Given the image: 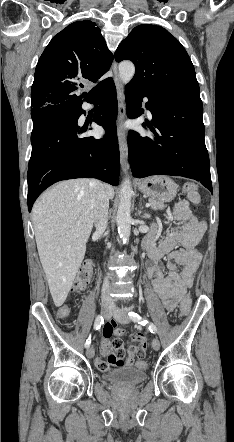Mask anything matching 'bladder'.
<instances>
[{
	"instance_id": "31cf9c89",
	"label": "bladder",
	"mask_w": 234,
	"mask_h": 442,
	"mask_svg": "<svg viewBox=\"0 0 234 442\" xmlns=\"http://www.w3.org/2000/svg\"><path fill=\"white\" fill-rule=\"evenodd\" d=\"M105 379L113 384L133 386L144 382L147 379V373L145 368L122 366L107 372Z\"/></svg>"
}]
</instances>
